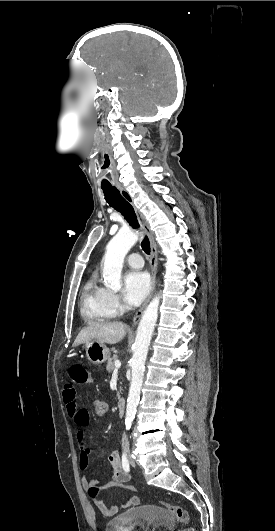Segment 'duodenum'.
<instances>
[{"label": "duodenum", "instance_id": "obj_1", "mask_svg": "<svg viewBox=\"0 0 275 531\" xmlns=\"http://www.w3.org/2000/svg\"><path fill=\"white\" fill-rule=\"evenodd\" d=\"M125 409H126V400L124 398H121L118 400V403H117V412L118 414L121 416L124 414L125 412Z\"/></svg>", "mask_w": 275, "mask_h": 531}]
</instances>
